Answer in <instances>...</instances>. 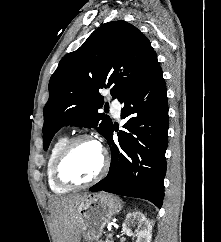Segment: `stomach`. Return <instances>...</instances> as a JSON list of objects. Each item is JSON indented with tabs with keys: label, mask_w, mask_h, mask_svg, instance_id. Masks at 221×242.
Returning a JSON list of instances; mask_svg holds the SVG:
<instances>
[{
	"label": "stomach",
	"mask_w": 221,
	"mask_h": 242,
	"mask_svg": "<svg viewBox=\"0 0 221 242\" xmlns=\"http://www.w3.org/2000/svg\"><path fill=\"white\" fill-rule=\"evenodd\" d=\"M121 208L122 202L116 196L107 193L87 195L76 209L83 239L88 242L98 240L104 232L105 225Z\"/></svg>",
	"instance_id": "stomach-1"
}]
</instances>
